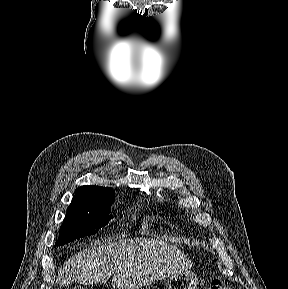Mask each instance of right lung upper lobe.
I'll list each match as a JSON object with an SVG mask.
<instances>
[{
	"instance_id": "right-lung-upper-lobe-1",
	"label": "right lung upper lobe",
	"mask_w": 288,
	"mask_h": 289,
	"mask_svg": "<svg viewBox=\"0 0 288 289\" xmlns=\"http://www.w3.org/2000/svg\"><path fill=\"white\" fill-rule=\"evenodd\" d=\"M107 192H114L112 188H105L100 186L85 185L75 190L74 197H97Z\"/></svg>"
}]
</instances>
